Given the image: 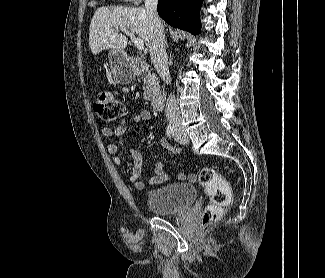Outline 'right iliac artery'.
Masks as SVG:
<instances>
[{"label":"right iliac artery","mask_w":325,"mask_h":278,"mask_svg":"<svg viewBox=\"0 0 325 278\" xmlns=\"http://www.w3.org/2000/svg\"><path fill=\"white\" fill-rule=\"evenodd\" d=\"M166 134L169 138H171V136L174 134V127L169 125L166 129Z\"/></svg>","instance_id":"right-iliac-artery-1"}]
</instances>
